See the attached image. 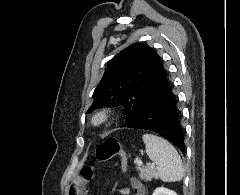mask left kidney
<instances>
[{
	"mask_svg": "<svg viewBox=\"0 0 240 195\" xmlns=\"http://www.w3.org/2000/svg\"><path fill=\"white\" fill-rule=\"evenodd\" d=\"M152 195H177V193L173 189H168V187H156Z\"/></svg>",
	"mask_w": 240,
	"mask_h": 195,
	"instance_id": "left-kidney-1",
	"label": "left kidney"
}]
</instances>
